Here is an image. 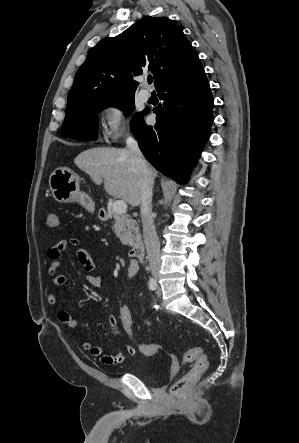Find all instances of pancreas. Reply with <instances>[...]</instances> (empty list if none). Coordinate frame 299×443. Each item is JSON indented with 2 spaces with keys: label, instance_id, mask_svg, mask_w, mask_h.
I'll use <instances>...</instances> for the list:
<instances>
[{
  "label": "pancreas",
  "instance_id": "pancreas-1",
  "mask_svg": "<svg viewBox=\"0 0 299 443\" xmlns=\"http://www.w3.org/2000/svg\"><path fill=\"white\" fill-rule=\"evenodd\" d=\"M110 214L114 218V232L123 245H128L139 237V229L135 220L128 214H117L110 208Z\"/></svg>",
  "mask_w": 299,
  "mask_h": 443
}]
</instances>
